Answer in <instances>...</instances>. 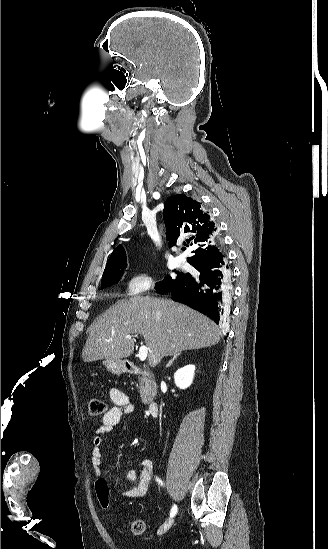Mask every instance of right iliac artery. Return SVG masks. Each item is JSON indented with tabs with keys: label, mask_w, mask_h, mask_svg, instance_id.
I'll use <instances>...</instances> for the list:
<instances>
[{
	"label": "right iliac artery",
	"mask_w": 328,
	"mask_h": 549,
	"mask_svg": "<svg viewBox=\"0 0 328 549\" xmlns=\"http://www.w3.org/2000/svg\"><path fill=\"white\" fill-rule=\"evenodd\" d=\"M157 481H158L161 485H163V482H162L161 480H159L158 478H157ZM176 513H177V506L174 505V506L172 507V509H171L170 517L175 516Z\"/></svg>",
	"instance_id": "obj_1"
}]
</instances>
